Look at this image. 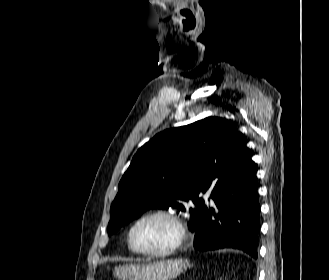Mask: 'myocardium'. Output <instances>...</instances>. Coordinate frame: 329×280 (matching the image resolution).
Returning a JSON list of instances; mask_svg holds the SVG:
<instances>
[{"label":"myocardium","mask_w":329,"mask_h":280,"mask_svg":"<svg viewBox=\"0 0 329 280\" xmlns=\"http://www.w3.org/2000/svg\"><path fill=\"white\" fill-rule=\"evenodd\" d=\"M156 217L165 218L168 221H170L171 224L174 226L176 232V237L174 242L169 247L156 251L142 250L137 248L133 242L134 230L141 222ZM185 239H186V232L183 223L181 222V220L179 219L176 213L167 209H157L141 215L133 222L128 232V245L130 249L136 254L143 256H150V257H164L175 253L183 245Z\"/></svg>","instance_id":"obj_1"}]
</instances>
